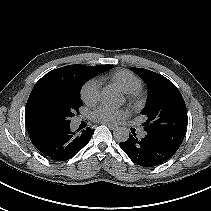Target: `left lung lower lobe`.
<instances>
[{"label": "left lung lower lobe", "instance_id": "obj_1", "mask_svg": "<svg viewBox=\"0 0 211 211\" xmlns=\"http://www.w3.org/2000/svg\"><path fill=\"white\" fill-rule=\"evenodd\" d=\"M129 158L144 167H154L171 158L175 151L158 140L146 135L139 139L132 132L128 140L119 144Z\"/></svg>", "mask_w": 211, "mask_h": 211}]
</instances>
